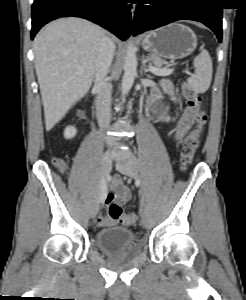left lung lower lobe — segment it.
Segmentation results:
<instances>
[{
  "label": "left lung lower lobe",
  "instance_id": "0a47b994",
  "mask_svg": "<svg viewBox=\"0 0 246 300\" xmlns=\"http://www.w3.org/2000/svg\"><path fill=\"white\" fill-rule=\"evenodd\" d=\"M156 2H160L157 4ZM132 34L156 29L173 21L201 22L222 40V7L219 0H138ZM149 3L150 5H143ZM152 5V6H151Z\"/></svg>",
  "mask_w": 246,
  "mask_h": 300
}]
</instances>
